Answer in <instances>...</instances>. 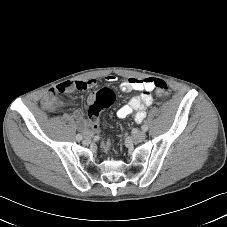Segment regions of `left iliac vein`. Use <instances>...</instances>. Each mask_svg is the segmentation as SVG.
<instances>
[{"label":"left iliac vein","mask_w":227,"mask_h":227,"mask_svg":"<svg viewBox=\"0 0 227 227\" xmlns=\"http://www.w3.org/2000/svg\"><path fill=\"white\" fill-rule=\"evenodd\" d=\"M146 138V133L145 131H139L136 134L133 135L132 139L134 142L139 143L144 141Z\"/></svg>","instance_id":"4c4485c4"}]
</instances>
